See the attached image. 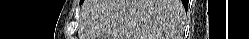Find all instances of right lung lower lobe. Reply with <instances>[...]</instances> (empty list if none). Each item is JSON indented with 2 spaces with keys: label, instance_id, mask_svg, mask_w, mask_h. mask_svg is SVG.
<instances>
[{
  "label": "right lung lower lobe",
  "instance_id": "right-lung-lower-lobe-1",
  "mask_svg": "<svg viewBox=\"0 0 249 39\" xmlns=\"http://www.w3.org/2000/svg\"><path fill=\"white\" fill-rule=\"evenodd\" d=\"M183 4H184V6H185V9L188 8V4H187L186 1H183Z\"/></svg>",
  "mask_w": 249,
  "mask_h": 39
}]
</instances>
